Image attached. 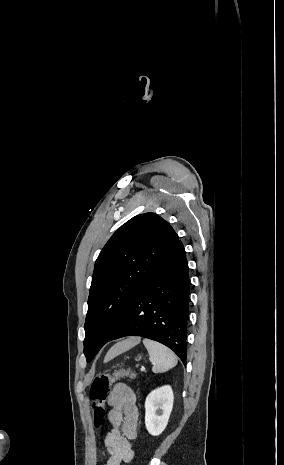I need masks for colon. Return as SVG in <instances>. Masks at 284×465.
<instances>
[{"instance_id": "1", "label": "colon", "mask_w": 284, "mask_h": 465, "mask_svg": "<svg viewBox=\"0 0 284 465\" xmlns=\"http://www.w3.org/2000/svg\"><path fill=\"white\" fill-rule=\"evenodd\" d=\"M130 370H118L110 374L101 373L97 375L92 381L89 388V397L92 403L96 406V411L98 413H103L105 411V403L109 395V387L112 383L118 381L121 378L132 376ZM96 420L100 419L99 415L95 416ZM98 428L102 427L101 423L97 424Z\"/></svg>"}]
</instances>
